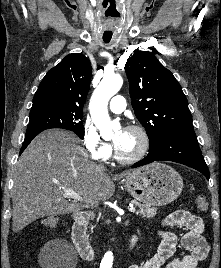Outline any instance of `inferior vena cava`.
<instances>
[{"instance_id":"obj_1","label":"inferior vena cava","mask_w":221,"mask_h":268,"mask_svg":"<svg viewBox=\"0 0 221 268\" xmlns=\"http://www.w3.org/2000/svg\"><path fill=\"white\" fill-rule=\"evenodd\" d=\"M99 166H100V167H102V168H104V165H102V164H101V165H99Z\"/></svg>"}]
</instances>
